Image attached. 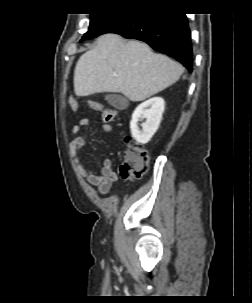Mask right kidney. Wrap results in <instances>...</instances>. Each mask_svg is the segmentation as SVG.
Returning <instances> with one entry per match:
<instances>
[{
	"instance_id": "right-kidney-1",
	"label": "right kidney",
	"mask_w": 252,
	"mask_h": 303,
	"mask_svg": "<svg viewBox=\"0 0 252 303\" xmlns=\"http://www.w3.org/2000/svg\"><path fill=\"white\" fill-rule=\"evenodd\" d=\"M165 102L162 97H153L141 103L133 112L130 130L133 138L140 144L148 143L159 128ZM140 119H145L142 129L138 127Z\"/></svg>"
}]
</instances>
